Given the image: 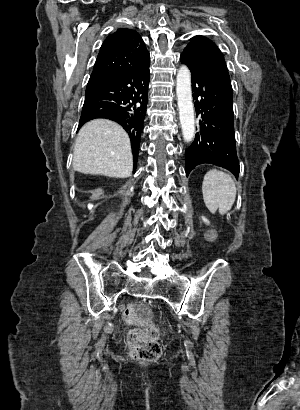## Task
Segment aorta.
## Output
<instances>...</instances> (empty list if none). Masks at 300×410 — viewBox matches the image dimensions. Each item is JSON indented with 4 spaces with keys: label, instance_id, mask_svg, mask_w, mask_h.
<instances>
[{
    "label": "aorta",
    "instance_id": "obj_1",
    "mask_svg": "<svg viewBox=\"0 0 300 410\" xmlns=\"http://www.w3.org/2000/svg\"><path fill=\"white\" fill-rule=\"evenodd\" d=\"M176 94L183 138L186 142H191L195 137V118L192 101L191 74L185 65H182L177 73Z\"/></svg>",
    "mask_w": 300,
    "mask_h": 410
}]
</instances>
